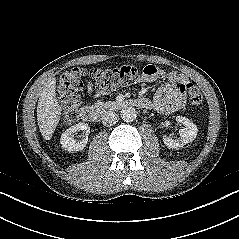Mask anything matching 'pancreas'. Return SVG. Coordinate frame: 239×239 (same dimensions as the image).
Wrapping results in <instances>:
<instances>
[{"instance_id": "cf45deb5", "label": "pancreas", "mask_w": 239, "mask_h": 239, "mask_svg": "<svg viewBox=\"0 0 239 239\" xmlns=\"http://www.w3.org/2000/svg\"><path fill=\"white\" fill-rule=\"evenodd\" d=\"M113 103L111 101L109 102H101V101H97L94 106L95 108L99 109V110H103V109H106V108H109Z\"/></svg>"}]
</instances>
